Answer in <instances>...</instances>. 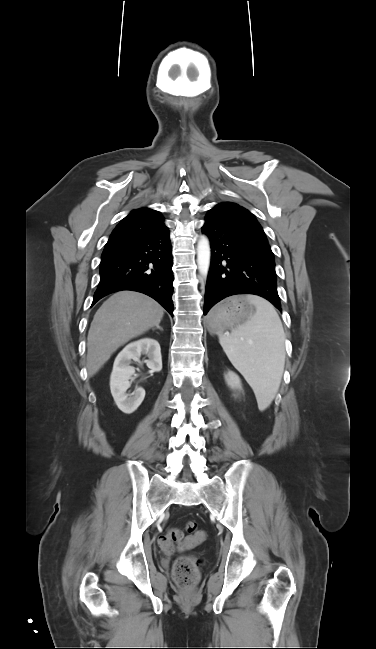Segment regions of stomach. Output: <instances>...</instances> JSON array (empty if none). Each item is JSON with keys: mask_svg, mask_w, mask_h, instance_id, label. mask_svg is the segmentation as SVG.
Wrapping results in <instances>:
<instances>
[{"mask_svg": "<svg viewBox=\"0 0 376 649\" xmlns=\"http://www.w3.org/2000/svg\"><path fill=\"white\" fill-rule=\"evenodd\" d=\"M253 314L254 306L248 302L246 296L230 297L211 311L208 317L209 330L219 334L225 329L245 323Z\"/></svg>", "mask_w": 376, "mask_h": 649, "instance_id": "1", "label": "stomach"}]
</instances>
